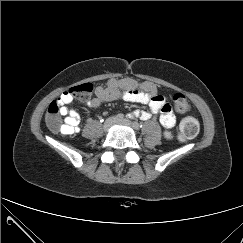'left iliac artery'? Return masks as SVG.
<instances>
[{"mask_svg":"<svg viewBox=\"0 0 243 243\" xmlns=\"http://www.w3.org/2000/svg\"><path fill=\"white\" fill-rule=\"evenodd\" d=\"M133 125H134V127H136L137 129H139V128H141L142 127V125H140L139 123H137V122H134L133 123Z\"/></svg>","mask_w":243,"mask_h":243,"instance_id":"44dca946","label":"left iliac artery"}]
</instances>
